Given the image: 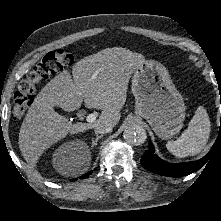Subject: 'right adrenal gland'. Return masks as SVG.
Wrapping results in <instances>:
<instances>
[{"mask_svg":"<svg viewBox=\"0 0 221 221\" xmlns=\"http://www.w3.org/2000/svg\"><path fill=\"white\" fill-rule=\"evenodd\" d=\"M102 137H103V135H99V136H97L95 139H92V145H91V147L93 148L94 146H96L98 140H99L100 138H102Z\"/></svg>","mask_w":221,"mask_h":221,"instance_id":"right-adrenal-gland-1","label":"right adrenal gland"}]
</instances>
